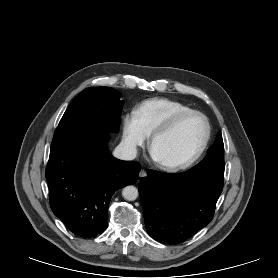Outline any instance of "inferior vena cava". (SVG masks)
Returning a JSON list of instances; mask_svg holds the SVG:
<instances>
[{"label": "inferior vena cava", "mask_w": 278, "mask_h": 278, "mask_svg": "<svg viewBox=\"0 0 278 278\" xmlns=\"http://www.w3.org/2000/svg\"><path fill=\"white\" fill-rule=\"evenodd\" d=\"M113 155L120 160L130 161L136 158L137 149L134 144H129L122 141L115 148Z\"/></svg>", "instance_id": "602c4592"}]
</instances>
